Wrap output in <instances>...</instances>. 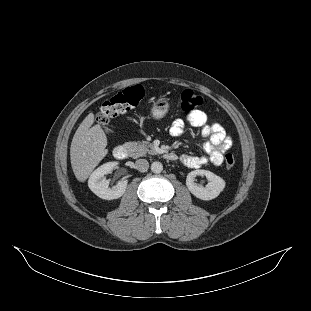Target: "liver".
I'll use <instances>...</instances> for the list:
<instances>
[{
  "mask_svg": "<svg viewBox=\"0 0 311 311\" xmlns=\"http://www.w3.org/2000/svg\"><path fill=\"white\" fill-rule=\"evenodd\" d=\"M93 120L94 115L90 113L78 127L71 143V164L80 181L87 179L107 153L105 133L99 125H92Z\"/></svg>",
  "mask_w": 311,
  "mask_h": 311,
  "instance_id": "1",
  "label": "liver"
}]
</instances>
